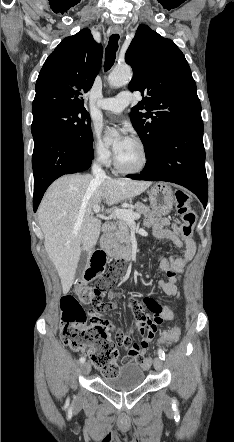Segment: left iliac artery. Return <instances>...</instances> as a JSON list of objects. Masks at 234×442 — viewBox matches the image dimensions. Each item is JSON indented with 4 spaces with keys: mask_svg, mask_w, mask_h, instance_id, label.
Here are the masks:
<instances>
[{
    "mask_svg": "<svg viewBox=\"0 0 234 442\" xmlns=\"http://www.w3.org/2000/svg\"><path fill=\"white\" fill-rule=\"evenodd\" d=\"M158 356L161 360H165V353L162 349L158 350ZM175 402V400H173Z\"/></svg>",
    "mask_w": 234,
    "mask_h": 442,
    "instance_id": "obj_1",
    "label": "left iliac artery"
}]
</instances>
